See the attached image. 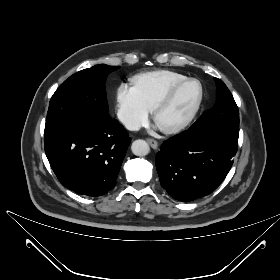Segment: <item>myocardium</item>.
Wrapping results in <instances>:
<instances>
[{
    "label": "myocardium",
    "mask_w": 280,
    "mask_h": 280,
    "mask_svg": "<svg viewBox=\"0 0 280 280\" xmlns=\"http://www.w3.org/2000/svg\"><path fill=\"white\" fill-rule=\"evenodd\" d=\"M189 83H196L199 87V95H198L197 101H196L195 105L193 106L192 110L190 111V113L188 114V116L183 121H181L180 123H178L172 127H169V128H159L161 130V132H163L164 134H168V135L176 134V133L184 130L187 126H189L191 124V122L194 120L197 113L199 112L202 101H203V97H204L203 85L196 78H186L180 82L174 83L165 91V93L161 96V98L157 101V103L152 108V118H153V121L156 123V118H157L158 113L170 103V101L174 97L175 93L182 86L189 84Z\"/></svg>",
    "instance_id": "myocardium-1"
}]
</instances>
